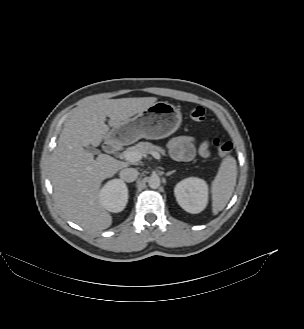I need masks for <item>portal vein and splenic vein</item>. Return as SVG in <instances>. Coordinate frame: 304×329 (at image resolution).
<instances>
[{
	"mask_svg": "<svg viewBox=\"0 0 304 329\" xmlns=\"http://www.w3.org/2000/svg\"><path fill=\"white\" fill-rule=\"evenodd\" d=\"M154 158L160 159V154L156 151L150 153ZM144 155L139 151H124L122 157L130 162H138L142 159Z\"/></svg>",
	"mask_w": 304,
	"mask_h": 329,
	"instance_id": "portal-vein-and-splenic-vein-1",
	"label": "portal vein and splenic vein"
}]
</instances>
